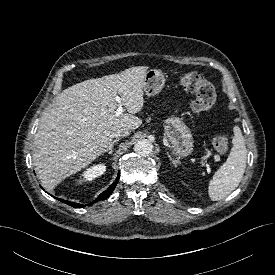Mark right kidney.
<instances>
[{"mask_svg": "<svg viewBox=\"0 0 275 275\" xmlns=\"http://www.w3.org/2000/svg\"><path fill=\"white\" fill-rule=\"evenodd\" d=\"M105 171H106V166L104 164H98L84 171L82 177H83V180L85 181H91L96 177H99L102 174H104Z\"/></svg>", "mask_w": 275, "mask_h": 275, "instance_id": "obj_1", "label": "right kidney"}]
</instances>
